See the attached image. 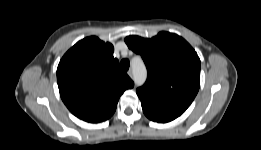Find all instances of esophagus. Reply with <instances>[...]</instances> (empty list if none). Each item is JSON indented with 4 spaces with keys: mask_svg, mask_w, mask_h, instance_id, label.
<instances>
[{
    "mask_svg": "<svg viewBox=\"0 0 261 150\" xmlns=\"http://www.w3.org/2000/svg\"><path fill=\"white\" fill-rule=\"evenodd\" d=\"M127 74L129 75L130 78L133 77V71L131 69L127 72Z\"/></svg>",
    "mask_w": 261,
    "mask_h": 150,
    "instance_id": "esophagus-1",
    "label": "esophagus"
}]
</instances>
